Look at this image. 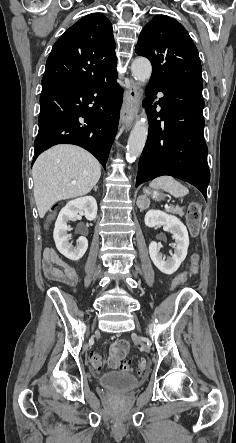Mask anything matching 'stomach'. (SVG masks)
<instances>
[{"mask_svg":"<svg viewBox=\"0 0 236 443\" xmlns=\"http://www.w3.org/2000/svg\"><path fill=\"white\" fill-rule=\"evenodd\" d=\"M144 193H145V195L152 196L153 199L158 200V201L162 200L164 198V194L157 191V190H150V189L145 188Z\"/></svg>","mask_w":236,"mask_h":443,"instance_id":"stomach-1","label":"stomach"}]
</instances>
